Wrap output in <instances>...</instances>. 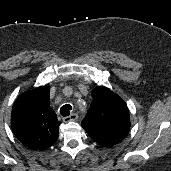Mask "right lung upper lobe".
Here are the masks:
<instances>
[{
  "mask_svg": "<svg viewBox=\"0 0 171 171\" xmlns=\"http://www.w3.org/2000/svg\"><path fill=\"white\" fill-rule=\"evenodd\" d=\"M49 100L50 89L42 86L22 94L13 105L11 127L26 147L44 151L58 138L60 123Z\"/></svg>",
  "mask_w": 171,
  "mask_h": 171,
  "instance_id": "1",
  "label": "right lung upper lobe"
}]
</instances>
